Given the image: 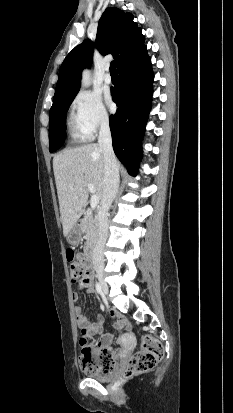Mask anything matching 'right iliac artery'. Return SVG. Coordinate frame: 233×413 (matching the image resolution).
Returning a JSON list of instances; mask_svg holds the SVG:
<instances>
[{"label":"right iliac artery","instance_id":"obj_1","mask_svg":"<svg viewBox=\"0 0 233 413\" xmlns=\"http://www.w3.org/2000/svg\"><path fill=\"white\" fill-rule=\"evenodd\" d=\"M96 291L98 294H102V287L99 283H96Z\"/></svg>","mask_w":233,"mask_h":413}]
</instances>
